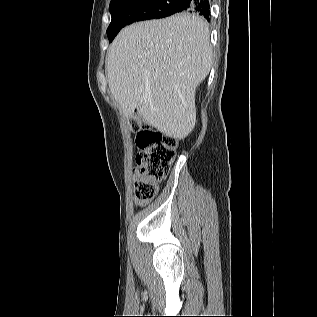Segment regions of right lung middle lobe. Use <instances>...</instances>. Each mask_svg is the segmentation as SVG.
I'll use <instances>...</instances> for the list:
<instances>
[{"label": "right lung middle lobe", "instance_id": "right-lung-middle-lobe-1", "mask_svg": "<svg viewBox=\"0 0 317 317\" xmlns=\"http://www.w3.org/2000/svg\"><path fill=\"white\" fill-rule=\"evenodd\" d=\"M176 0H111L110 13L112 21L107 29L111 42L118 32L130 23L159 19L177 13ZM190 14L191 12H180Z\"/></svg>", "mask_w": 317, "mask_h": 317}]
</instances>
